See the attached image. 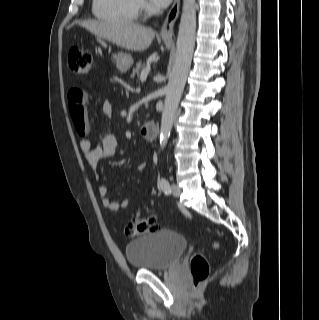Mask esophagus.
I'll return each instance as SVG.
<instances>
[{
	"instance_id": "obj_1",
	"label": "esophagus",
	"mask_w": 319,
	"mask_h": 320,
	"mask_svg": "<svg viewBox=\"0 0 319 320\" xmlns=\"http://www.w3.org/2000/svg\"><path fill=\"white\" fill-rule=\"evenodd\" d=\"M180 1L181 0H174L173 5L171 9L169 10L167 17L160 29V37L168 42L174 41V24L176 22V19L179 15V9H180Z\"/></svg>"
}]
</instances>
